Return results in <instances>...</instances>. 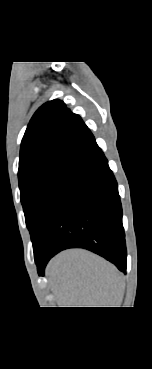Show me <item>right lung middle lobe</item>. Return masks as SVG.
<instances>
[{"label": "right lung middle lobe", "mask_w": 152, "mask_h": 369, "mask_svg": "<svg viewBox=\"0 0 152 369\" xmlns=\"http://www.w3.org/2000/svg\"><path fill=\"white\" fill-rule=\"evenodd\" d=\"M76 165L74 162H59L29 171L19 179L21 202L34 250L55 202Z\"/></svg>", "instance_id": "dd1d6c3e"}]
</instances>
